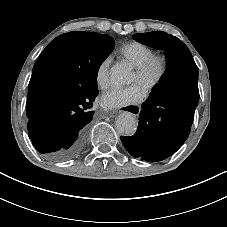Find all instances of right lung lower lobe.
Returning a JSON list of instances; mask_svg holds the SVG:
<instances>
[{
  "label": "right lung lower lobe",
  "instance_id": "98d812e1",
  "mask_svg": "<svg viewBox=\"0 0 227 227\" xmlns=\"http://www.w3.org/2000/svg\"><path fill=\"white\" fill-rule=\"evenodd\" d=\"M98 91L86 95H62L51 101L41 118L28 122V134L34 147L51 160L65 161L83 149L88 123L92 120V102Z\"/></svg>",
  "mask_w": 227,
  "mask_h": 227
}]
</instances>
